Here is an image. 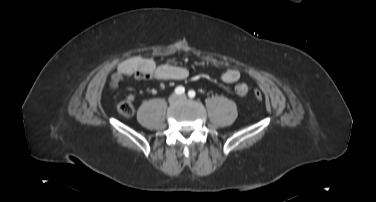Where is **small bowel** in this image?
Listing matches in <instances>:
<instances>
[{"instance_id":"obj_1","label":"small bowel","mask_w":376,"mask_h":202,"mask_svg":"<svg viewBox=\"0 0 376 202\" xmlns=\"http://www.w3.org/2000/svg\"><path fill=\"white\" fill-rule=\"evenodd\" d=\"M190 73L186 67L160 64L157 65L152 59L141 56H134L122 61L110 77V88L115 90L120 83L129 77L141 79H150L154 81H182L189 77ZM241 73L236 68H230L223 71L220 79L227 84L237 83L240 80ZM235 93L238 96H245L248 93V87L244 83H239L235 87ZM133 99L134 97L130 95Z\"/></svg>"}]
</instances>
